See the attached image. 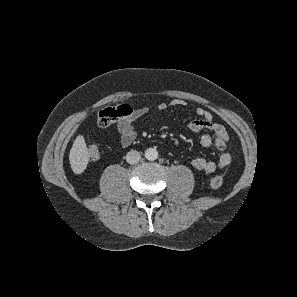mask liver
<instances>
[{"label":"liver","instance_id":"6515ba94","mask_svg":"<svg viewBox=\"0 0 297 297\" xmlns=\"http://www.w3.org/2000/svg\"><path fill=\"white\" fill-rule=\"evenodd\" d=\"M89 157L84 137L82 135L77 136L69 153L72 171L75 174H81L87 167Z\"/></svg>","mask_w":297,"mask_h":297}]
</instances>
